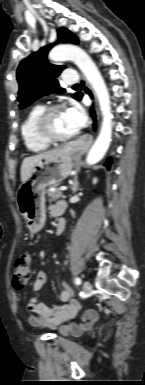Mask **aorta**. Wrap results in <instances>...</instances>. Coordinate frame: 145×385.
<instances>
[{
	"label": "aorta",
	"instance_id": "obj_1",
	"mask_svg": "<svg viewBox=\"0 0 145 385\" xmlns=\"http://www.w3.org/2000/svg\"><path fill=\"white\" fill-rule=\"evenodd\" d=\"M53 61H73L83 72L87 81L93 88L102 113V124L99 135L87 155V163L93 165L98 163L106 154L112 137V114L110 96L106 84L89 55L80 47L75 45H60L53 48L49 53Z\"/></svg>",
	"mask_w": 145,
	"mask_h": 385
}]
</instances>
